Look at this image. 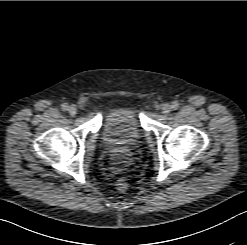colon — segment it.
<instances>
[{
  "label": "colon",
  "mask_w": 247,
  "mask_h": 245,
  "mask_svg": "<svg viewBox=\"0 0 247 245\" xmlns=\"http://www.w3.org/2000/svg\"><path fill=\"white\" fill-rule=\"evenodd\" d=\"M116 187L119 191H126L128 189V183L124 178H119L116 182Z\"/></svg>",
  "instance_id": "5ec220e1"
}]
</instances>
